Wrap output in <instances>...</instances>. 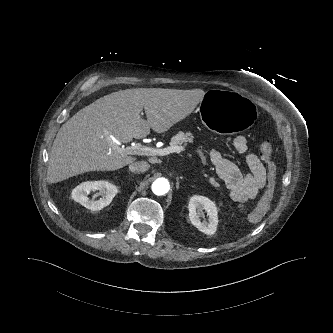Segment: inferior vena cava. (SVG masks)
Wrapping results in <instances>:
<instances>
[{
  "mask_svg": "<svg viewBox=\"0 0 333 333\" xmlns=\"http://www.w3.org/2000/svg\"><path fill=\"white\" fill-rule=\"evenodd\" d=\"M150 168V165L145 161H135L130 163L129 170L132 172L142 173L147 171Z\"/></svg>",
  "mask_w": 333,
  "mask_h": 333,
  "instance_id": "602c4592",
  "label": "inferior vena cava"
}]
</instances>
